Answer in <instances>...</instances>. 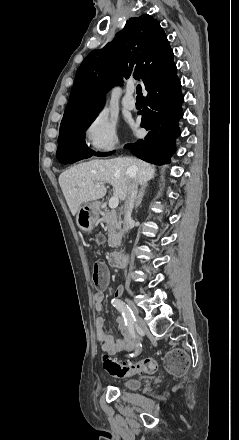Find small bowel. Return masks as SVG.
Instances as JSON below:
<instances>
[{
  "label": "small bowel",
  "instance_id": "obj_1",
  "mask_svg": "<svg viewBox=\"0 0 239 440\" xmlns=\"http://www.w3.org/2000/svg\"><path fill=\"white\" fill-rule=\"evenodd\" d=\"M107 276H108V271H107ZM103 301H104V293L102 291L95 293L94 305L97 311L102 310ZM116 323L120 333V337L114 339L112 336L108 335L105 331L104 318L99 316L95 320L97 340L101 344L103 351L111 355L120 352H125L127 350H130L132 347L131 334L122 316L117 317Z\"/></svg>",
  "mask_w": 239,
  "mask_h": 440
}]
</instances>
